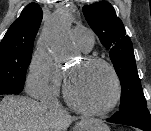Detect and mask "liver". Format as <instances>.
I'll return each instance as SVG.
<instances>
[{
    "label": "liver",
    "mask_w": 151,
    "mask_h": 131,
    "mask_svg": "<svg viewBox=\"0 0 151 131\" xmlns=\"http://www.w3.org/2000/svg\"><path fill=\"white\" fill-rule=\"evenodd\" d=\"M72 121L62 107L49 109L27 97L6 96L0 102V131H66Z\"/></svg>",
    "instance_id": "obj_1"
}]
</instances>
